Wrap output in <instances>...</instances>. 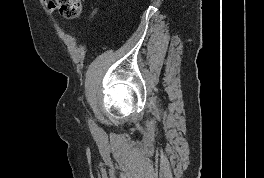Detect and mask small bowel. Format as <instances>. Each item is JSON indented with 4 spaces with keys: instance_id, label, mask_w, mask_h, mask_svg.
<instances>
[{
    "instance_id": "1",
    "label": "small bowel",
    "mask_w": 264,
    "mask_h": 178,
    "mask_svg": "<svg viewBox=\"0 0 264 178\" xmlns=\"http://www.w3.org/2000/svg\"><path fill=\"white\" fill-rule=\"evenodd\" d=\"M54 6H52L51 4H50V6H49V9L51 10V11H53L54 10Z\"/></svg>"
}]
</instances>
